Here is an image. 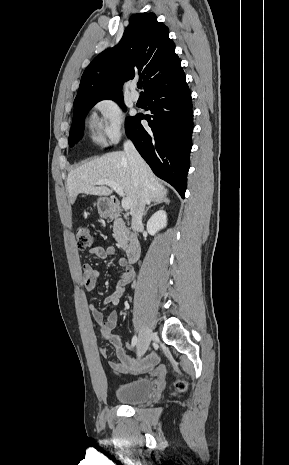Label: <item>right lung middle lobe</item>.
Returning a JSON list of instances; mask_svg holds the SVG:
<instances>
[{"label": "right lung middle lobe", "instance_id": "1", "mask_svg": "<svg viewBox=\"0 0 289 465\" xmlns=\"http://www.w3.org/2000/svg\"><path fill=\"white\" fill-rule=\"evenodd\" d=\"M102 99L97 100H88L83 101L77 104H74V113H73V122L69 135V144L72 146L74 143H77L83 136V121L87 112ZM116 101L123 109L125 108L122 99L115 98L112 99ZM134 117H128L125 124V129L127 130L132 123Z\"/></svg>", "mask_w": 289, "mask_h": 465}]
</instances>
